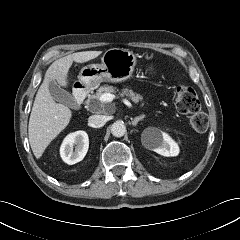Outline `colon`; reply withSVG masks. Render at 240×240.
I'll return each mask as SVG.
<instances>
[{
  "label": "colon",
  "mask_w": 240,
  "mask_h": 240,
  "mask_svg": "<svg viewBox=\"0 0 240 240\" xmlns=\"http://www.w3.org/2000/svg\"><path fill=\"white\" fill-rule=\"evenodd\" d=\"M174 95L176 107L186 116L190 127L196 132H205L208 128V117L200 109L201 103L196 91L189 86L178 85Z\"/></svg>",
  "instance_id": "1"
}]
</instances>
